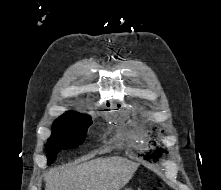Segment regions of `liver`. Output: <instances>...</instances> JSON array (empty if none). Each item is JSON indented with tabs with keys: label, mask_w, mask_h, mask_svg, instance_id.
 Wrapping results in <instances>:
<instances>
[{
	"label": "liver",
	"mask_w": 221,
	"mask_h": 190,
	"mask_svg": "<svg viewBox=\"0 0 221 190\" xmlns=\"http://www.w3.org/2000/svg\"><path fill=\"white\" fill-rule=\"evenodd\" d=\"M139 164L114 156L51 169L45 174V190H120Z\"/></svg>",
	"instance_id": "obj_1"
}]
</instances>
